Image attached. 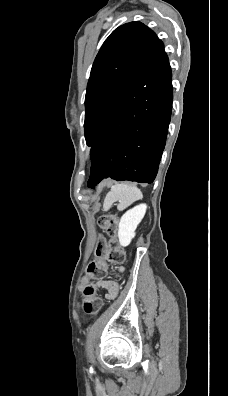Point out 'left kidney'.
Wrapping results in <instances>:
<instances>
[{"mask_svg":"<svg viewBox=\"0 0 228 396\" xmlns=\"http://www.w3.org/2000/svg\"><path fill=\"white\" fill-rule=\"evenodd\" d=\"M147 210L146 204H140L128 210L120 219L118 238L121 246H128L135 237V230Z\"/></svg>","mask_w":228,"mask_h":396,"instance_id":"obj_1","label":"left kidney"}]
</instances>
